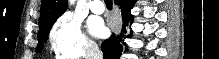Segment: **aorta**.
<instances>
[{"label":"aorta","mask_w":219,"mask_h":59,"mask_svg":"<svg viewBox=\"0 0 219 59\" xmlns=\"http://www.w3.org/2000/svg\"><path fill=\"white\" fill-rule=\"evenodd\" d=\"M73 3H74V0H71V1H70V4H73Z\"/></svg>","instance_id":"obj_1"}]
</instances>
